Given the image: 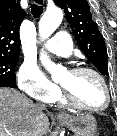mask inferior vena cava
<instances>
[{
  "label": "inferior vena cava",
  "instance_id": "inferior-vena-cava-1",
  "mask_svg": "<svg viewBox=\"0 0 117 136\" xmlns=\"http://www.w3.org/2000/svg\"><path fill=\"white\" fill-rule=\"evenodd\" d=\"M37 107H39V108L42 109V110H45V109H46V106L43 105V104H37Z\"/></svg>",
  "mask_w": 117,
  "mask_h": 136
}]
</instances>
